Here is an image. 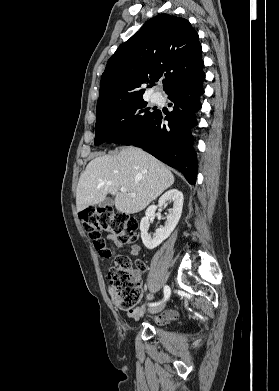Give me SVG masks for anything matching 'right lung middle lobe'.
Here are the masks:
<instances>
[{"label": "right lung middle lobe", "mask_w": 279, "mask_h": 391, "mask_svg": "<svg viewBox=\"0 0 279 391\" xmlns=\"http://www.w3.org/2000/svg\"><path fill=\"white\" fill-rule=\"evenodd\" d=\"M142 99L96 114L95 145L114 142L128 130L151 118L157 111L146 108Z\"/></svg>", "instance_id": "1"}]
</instances>
